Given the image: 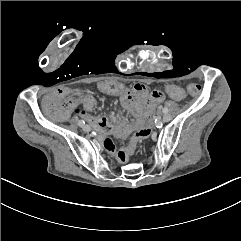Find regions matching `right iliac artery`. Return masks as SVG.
Segmentation results:
<instances>
[{
	"mask_svg": "<svg viewBox=\"0 0 241 241\" xmlns=\"http://www.w3.org/2000/svg\"><path fill=\"white\" fill-rule=\"evenodd\" d=\"M78 124H79L80 127H83L84 124H85V122H84L83 120H79V121H78Z\"/></svg>",
	"mask_w": 241,
	"mask_h": 241,
	"instance_id": "82829eb1",
	"label": "right iliac artery"
}]
</instances>
